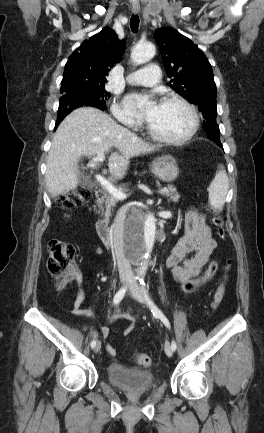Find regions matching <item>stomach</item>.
Listing matches in <instances>:
<instances>
[{
    "label": "stomach",
    "mask_w": 264,
    "mask_h": 433,
    "mask_svg": "<svg viewBox=\"0 0 264 433\" xmlns=\"http://www.w3.org/2000/svg\"><path fill=\"white\" fill-rule=\"evenodd\" d=\"M150 171L163 182H172L179 174L177 162L171 155H164L155 159L150 165Z\"/></svg>",
    "instance_id": "1"
}]
</instances>
